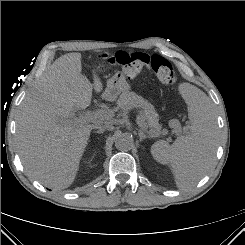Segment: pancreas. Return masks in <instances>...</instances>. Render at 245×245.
<instances>
[{
	"mask_svg": "<svg viewBox=\"0 0 245 245\" xmlns=\"http://www.w3.org/2000/svg\"><path fill=\"white\" fill-rule=\"evenodd\" d=\"M117 108L121 110L139 109L141 116L146 121V126L150 128V135L157 137L163 133L161 131L162 127L158 123V113L155 111L153 105L134 92L122 94L117 102ZM170 126L175 128L176 132L179 131V124L176 120L171 121Z\"/></svg>",
	"mask_w": 245,
	"mask_h": 245,
	"instance_id": "cf45deb5",
	"label": "pancreas"
}]
</instances>
